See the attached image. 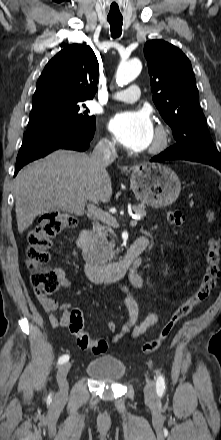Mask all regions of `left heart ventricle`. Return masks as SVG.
<instances>
[{"instance_id":"1","label":"left heart ventricle","mask_w":221,"mask_h":440,"mask_svg":"<svg viewBox=\"0 0 221 440\" xmlns=\"http://www.w3.org/2000/svg\"><path fill=\"white\" fill-rule=\"evenodd\" d=\"M154 139H155V133H153V138H152L151 144L154 142Z\"/></svg>"}]
</instances>
